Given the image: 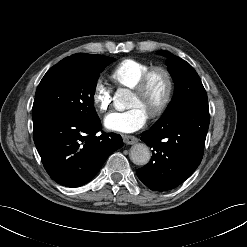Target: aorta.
Masks as SVG:
<instances>
[{
	"label": "aorta",
	"mask_w": 247,
	"mask_h": 247,
	"mask_svg": "<svg viewBox=\"0 0 247 247\" xmlns=\"http://www.w3.org/2000/svg\"><path fill=\"white\" fill-rule=\"evenodd\" d=\"M129 94V90L122 89L116 93V100L123 99ZM131 161L139 166L146 165L151 158V152L149 147L144 143H137L133 145L129 153Z\"/></svg>",
	"instance_id": "aorta-1"
}]
</instances>
